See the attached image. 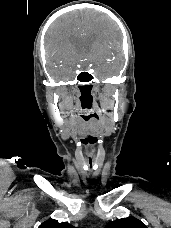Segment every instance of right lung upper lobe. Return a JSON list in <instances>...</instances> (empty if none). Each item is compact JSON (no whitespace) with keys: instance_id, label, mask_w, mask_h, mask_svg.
<instances>
[{"instance_id":"obj_1","label":"right lung upper lobe","mask_w":171,"mask_h":228,"mask_svg":"<svg viewBox=\"0 0 171 228\" xmlns=\"http://www.w3.org/2000/svg\"><path fill=\"white\" fill-rule=\"evenodd\" d=\"M38 228H75L67 222L59 223L57 220H47Z\"/></svg>"}]
</instances>
